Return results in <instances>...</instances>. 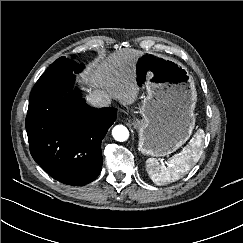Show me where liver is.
Listing matches in <instances>:
<instances>
[{"label": "liver", "mask_w": 243, "mask_h": 243, "mask_svg": "<svg viewBox=\"0 0 243 243\" xmlns=\"http://www.w3.org/2000/svg\"><path fill=\"white\" fill-rule=\"evenodd\" d=\"M141 54V51L129 48L114 52L94 64V69L81 74L83 82L90 88L106 91L124 105L133 104L139 92L135 63Z\"/></svg>", "instance_id": "1"}]
</instances>
